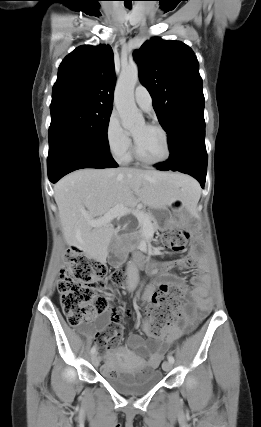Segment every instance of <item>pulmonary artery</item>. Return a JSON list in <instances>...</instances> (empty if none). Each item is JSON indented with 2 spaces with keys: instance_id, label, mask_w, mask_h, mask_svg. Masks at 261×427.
<instances>
[{
  "instance_id": "e3ab8cb5",
  "label": "pulmonary artery",
  "mask_w": 261,
  "mask_h": 427,
  "mask_svg": "<svg viewBox=\"0 0 261 427\" xmlns=\"http://www.w3.org/2000/svg\"><path fill=\"white\" fill-rule=\"evenodd\" d=\"M134 99L143 110L148 111L152 108V97L146 87L137 86L134 92Z\"/></svg>"
}]
</instances>
